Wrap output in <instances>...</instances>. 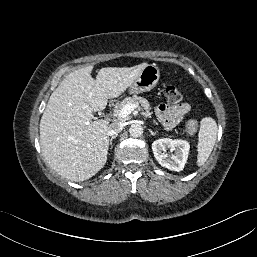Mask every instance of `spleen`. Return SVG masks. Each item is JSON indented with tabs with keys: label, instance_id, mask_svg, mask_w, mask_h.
Returning a JSON list of instances; mask_svg holds the SVG:
<instances>
[{
	"label": "spleen",
	"instance_id": "spleen-1",
	"mask_svg": "<svg viewBox=\"0 0 257 257\" xmlns=\"http://www.w3.org/2000/svg\"><path fill=\"white\" fill-rule=\"evenodd\" d=\"M218 127L215 120L205 117L200 121L197 145V165L202 166L209 158L216 142Z\"/></svg>",
	"mask_w": 257,
	"mask_h": 257
}]
</instances>
